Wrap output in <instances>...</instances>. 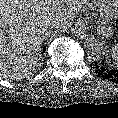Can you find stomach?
<instances>
[{"mask_svg": "<svg viewBox=\"0 0 118 118\" xmlns=\"http://www.w3.org/2000/svg\"><path fill=\"white\" fill-rule=\"evenodd\" d=\"M111 32V29L109 27H106V26H103L101 28V33L104 35V36H109Z\"/></svg>", "mask_w": 118, "mask_h": 118, "instance_id": "stomach-1", "label": "stomach"}]
</instances>
